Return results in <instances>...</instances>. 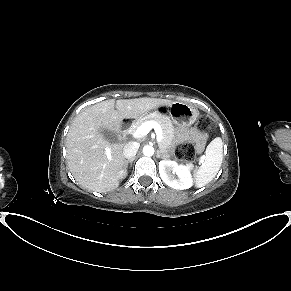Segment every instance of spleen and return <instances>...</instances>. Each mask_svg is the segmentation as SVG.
Masks as SVG:
<instances>
[{
  "instance_id": "spleen-1",
  "label": "spleen",
  "mask_w": 291,
  "mask_h": 291,
  "mask_svg": "<svg viewBox=\"0 0 291 291\" xmlns=\"http://www.w3.org/2000/svg\"><path fill=\"white\" fill-rule=\"evenodd\" d=\"M222 159L223 143L222 139L217 137L207 146L202 164L194 174L196 187H203L215 178L221 167Z\"/></svg>"
}]
</instances>
